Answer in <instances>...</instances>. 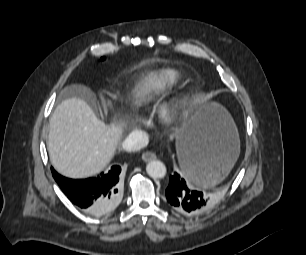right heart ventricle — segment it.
<instances>
[{
  "label": "right heart ventricle",
  "mask_w": 306,
  "mask_h": 255,
  "mask_svg": "<svg viewBox=\"0 0 306 255\" xmlns=\"http://www.w3.org/2000/svg\"><path fill=\"white\" fill-rule=\"evenodd\" d=\"M177 71L170 68L158 69L143 77L132 92L136 107L146 109L179 82Z\"/></svg>",
  "instance_id": "obj_1"
}]
</instances>
